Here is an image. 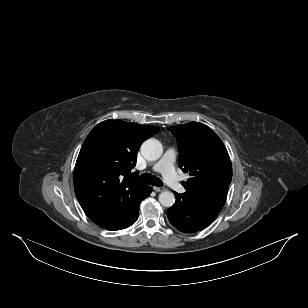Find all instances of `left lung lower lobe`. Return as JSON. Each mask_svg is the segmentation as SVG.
<instances>
[{"mask_svg": "<svg viewBox=\"0 0 308 308\" xmlns=\"http://www.w3.org/2000/svg\"><path fill=\"white\" fill-rule=\"evenodd\" d=\"M227 191L228 187H222L191 198L174 192L176 202L167 212L170 223L185 233L206 228L223 208Z\"/></svg>", "mask_w": 308, "mask_h": 308, "instance_id": "1", "label": "left lung lower lobe"}]
</instances>
